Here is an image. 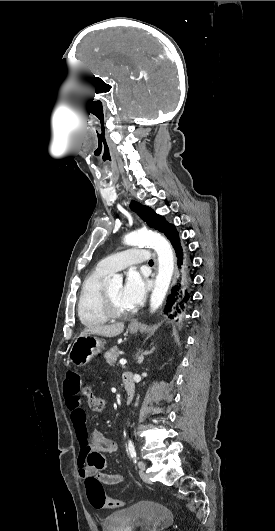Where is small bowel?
I'll return each mask as SVG.
<instances>
[{
  "mask_svg": "<svg viewBox=\"0 0 275 531\" xmlns=\"http://www.w3.org/2000/svg\"><path fill=\"white\" fill-rule=\"evenodd\" d=\"M67 380L64 381L63 391L66 405L70 411V422L76 438H86V443L81 445L77 455L78 476L85 478L87 471H94L96 477L106 486L117 485L124 481L120 474L107 472V461L105 453H115L118 449L116 442L107 438L101 431L94 430L91 433L90 440L87 442L88 426L87 416L84 409L80 406L78 394L81 392L80 375L77 370L70 367L66 371Z\"/></svg>",
  "mask_w": 275,
  "mask_h": 531,
  "instance_id": "obj_1",
  "label": "small bowel"
}]
</instances>
